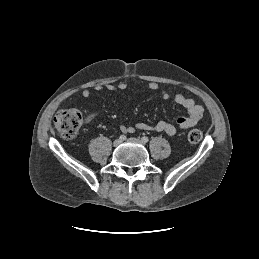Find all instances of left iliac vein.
I'll return each instance as SVG.
<instances>
[{
    "label": "left iliac vein",
    "mask_w": 259,
    "mask_h": 259,
    "mask_svg": "<svg viewBox=\"0 0 259 259\" xmlns=\"http://www.w3.org/2000/svg\"><path fill=\"white\" fill-rule=\"evenodd\" d=\"M129 142H134V143H139V144H144L140 139L137 138H129Z\"/></svg>",
    "instance_id": "1"
}]
</instances>
